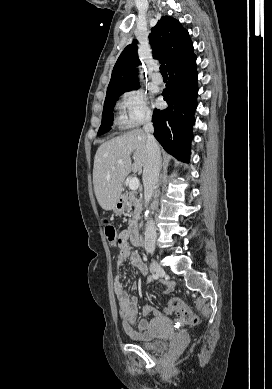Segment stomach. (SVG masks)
Listing matches in <instances>:
<instances>
[{
    "mask_svg": "<svg viewBox=\"0 0 272 389\" xmlns=\"http://www.w3.org/2000/svg\"><path fill=\"white\" fill-rule=\"evenodd\" d=\"M125 206H126L125 199L123 196H120V198L117 200L115 206L113 207V212L116 215H120L124 212Z\"/></svg>",
    "mask_w": 272,
    "mask_h": 389,
    "instance_id": "obj_1",
    "label": "stomach"
}]
</instances>
